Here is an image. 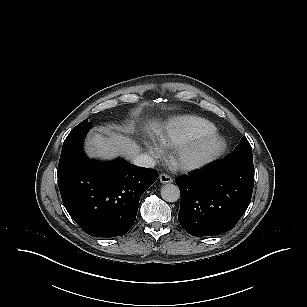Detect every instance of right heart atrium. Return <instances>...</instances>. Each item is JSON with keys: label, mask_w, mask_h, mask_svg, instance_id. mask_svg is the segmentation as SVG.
Segmentation results:
<instances>
[{"label": "right heart atrium", "mask_w": 307, "mask_h": 307, "mask_svg": "<svg viewBox=\"0 0 307 307\" xmlns=\"http://www.w3.org/2000/svg\"><path fill=\"white\" fill-rule=\"evenodd\" d=\"M146 149H147L148 154L151 155L152 157H155L160 153L159 148L155 145L148 144L146 146Z\"/></svg>", "instance_id": "obj_1"}]
</instances>
